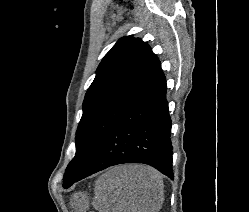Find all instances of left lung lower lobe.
<instances>
[{
	"mask_svg": "<svg viewBox=\"0 0 249 212\" xmlns=\"http://www.w3.org/2000/svg\"><path fill=\"white\" fill-rule=\"evenodd\" d=\"M166 90V79L160 68L114 124L93 161L75 182L123 163L148 164L174 178Z\"/></svg>",
	"mask_w": 249,
	"mask_h": 212,
	"instance_id": "obj_1",
	"label": "left lung lower lobe"
}]
</instances>
